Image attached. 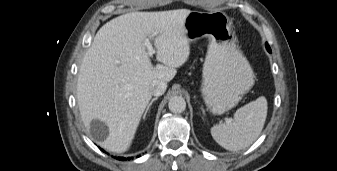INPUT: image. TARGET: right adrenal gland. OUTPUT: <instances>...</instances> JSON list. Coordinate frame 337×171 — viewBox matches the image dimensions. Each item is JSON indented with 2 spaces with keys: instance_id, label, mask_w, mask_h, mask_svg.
<instances>
[{
  "instance_id": "2a0ac1e0",
  "label": "right adrenal gland",
  "mask_w": 337,
  "mask_h": 171,
  "mask_svg": "<svg viewBox=\"0 0 337 171\" xmlns=\"http://www.w3.org/2000/svg\"><path fill=\"white\" fill-rule=\"evenodd\" d=\"M155 100H157V97H156V98H153V99L151 100V102L148 104V106H147V108H146V111H145V113H144V115H143V119L146 118V115H147V113H148V111H149L151 105L153 104V102H154Z\"/></svg>"
}]
</instances>
